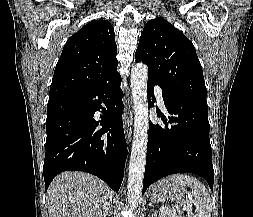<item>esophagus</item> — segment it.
Segmentation results:
<instances>
[{"instance_id":"esophagus-1","label":"esophagus","mask_w":253,"mask_h":217,"mask_svg":"<svg viewBox=\"0 0 253 217\" xmlns=\"http://www.w3.org/2000/svg\"><path fill=\"white\" fill-rule=\"evenodd\" d=\"M132 123H133L132 113L124 112L123 124H124L127 138L129 140L131 139V134H132Z\"/></svg>"}]
</instances>
